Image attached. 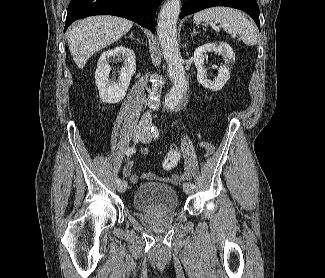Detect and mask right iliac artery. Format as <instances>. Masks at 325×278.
<instances>
[{
	"label": "right iliac artery",
	"instance_id": "obj_1",
	"mask_svg": "<svg viewBox=\"0 0 325 278\" xmlns=\"http://www.w3.org/2000/svg\"><path fill=\"white\" fill-rule=\"evenodd\" d=\"M133 153H135V147H134V146L129 147V148L125 151V154H126L127 156H130V155H132ZM115 181H116L117 184H120V183H121V179H120V178H117Z\"/></svg>",
	"mask_w": 325,
	"mask_h": 278
}]
</instances>
